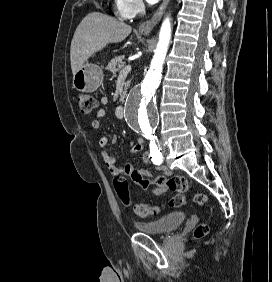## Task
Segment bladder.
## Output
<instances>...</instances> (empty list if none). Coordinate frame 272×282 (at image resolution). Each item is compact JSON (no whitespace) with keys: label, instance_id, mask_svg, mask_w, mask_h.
Masks as SVG:
<instances>
[{"label":"bladder","instance_id":"obj_1","mask_svg":"<svg viewBox=\"0 0 272 282\" xmlns=\"http://www.w3.org/2000/svg\"><path fill=\"white\" fill-rule=\"evenodd\" d=\"M183 211L173 212L153 221H135L134 225L141 233L160 234L176 229L186 220Z\"/></svg>","mask_w":272,"mask_h":282}]
</instances>
